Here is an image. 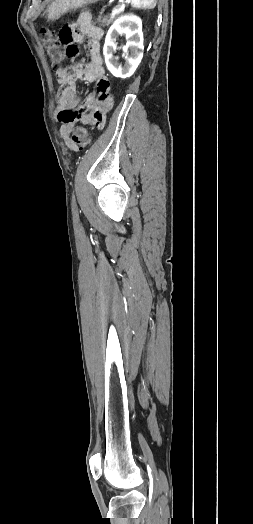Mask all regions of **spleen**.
<instances>
[{
	"label": "spleen",
	"mask_w": 253,
	"mask_h": 524,
	"mask_svg": "<svg viewBox=\"0 0 253 524\" xmlns=\"http://www.w3.org/2000/svg\"><path fill=\"white\" fill-rule=\"evenodd\" d=\"M131 5L138 9H153L156 6V0H130Z\"/></svg>",
	"instance_id": "obj_1"
}]
</instances>
